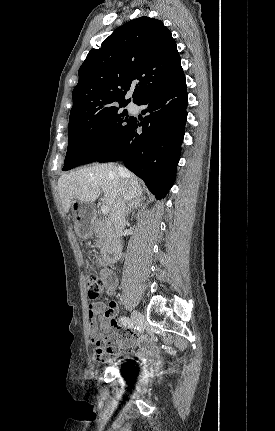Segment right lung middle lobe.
<instances>
[{
    "instance_id": "dd1d6c3e",
    "label": "right lung middle lobe",
    "mask_w": 275,
    "mask_h": 431,
    "mask_svg": "<svg viewBox=\"0 0 275 431\" xmlns=\"http://www.w3.org/2000/svg\"><path fill=\"white\" fill-rule=\"evenodd\" d=\"M133 119L126 110L121 112L113 106L69 122L68 149L62 170L97 161L120 139Z\"/></svg>"
}]
</instances>
